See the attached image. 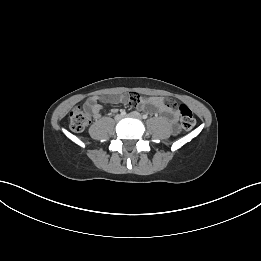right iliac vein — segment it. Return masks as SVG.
<instances>
[{
	"label": "right iliac vein",
	"instance_id": "obj_1",
	"mask_svg": "<svg viewBox=\"0 0 261 261\" xmlns=\"http://www.w3.org/2000/svg\"><path fill=\"white\" fill-rule=\"evenodd\" d=\"M122 118H123L122 115H116V116H115V120H116V121H120Z\"/></svg>",
	"mask_w": 261,
	"mask_h": 261
}]
</instances>
